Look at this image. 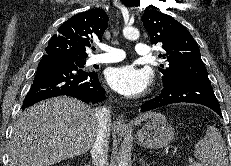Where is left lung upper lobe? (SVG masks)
<instances>
[{
    "instance_id": "1",
    "label": "left lung upper lobe",
    "mask_w": 231,
    "mask_h": 166,
    "mask_svg": "<svg viewBox=\"0 0 231 166\" xmlns=\"http://www.w3.org/2000/svg\"><path fill=\"white\" fill-rule=\"evenodd\" d=\"M143 25L152 44L161 43L168 64L159 68L163 84L178 79L209 80L199 47L189 31L171 16L154 9L143 14Z\"/></svg>"
}]
</instances>
